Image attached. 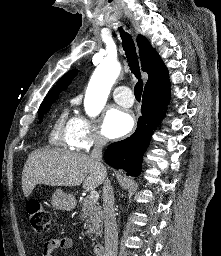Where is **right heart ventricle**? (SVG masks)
<instances>
[{
  "mask_svg": "<svg viewBox=\"0 0 221 256\" xmlns=\"http://www.w3.org/2000/svg\"><path fill=\"white\" fill-rule=\"evenodd\" d=\"M71 119L68 118L67 109L61 111L56 117L49 135V142L51 144L67 149L73 147L69 135Z\"/></svg>",
  "mask_w": 221,
  "mask_h": 256,
  "instance_id": "1",
  "label": "right heart ventricle"
}]
</instances>
